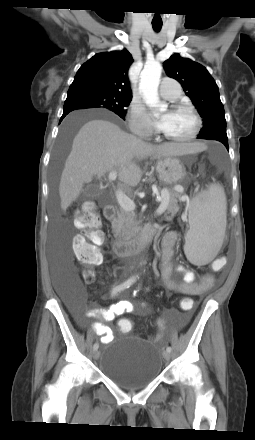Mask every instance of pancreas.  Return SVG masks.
I'll return each instance as SVG.
<instances>
[{"mask_svg": "<svg viewBox=\"0 0 255 440\" xmlns=\"http://www.w3.org/2000/svg\"><path fill=\"white\" fill-rule=\"evenodd\" d=\"M161 197V205L166 204V214H171V216H166V218L171 219L179 210L177 198L180 199L181 196L178 192L163 189ZM111 224L114 236L124 240H129L136 236L140 229L139 222L136 220V214L133 211H125L122 208L117 211V215Z\"/></svg>", "mask_w": 255, "mask_h": 440, "instance_id": "cf45deb5", "label": "pancreas"}]
</instances>
